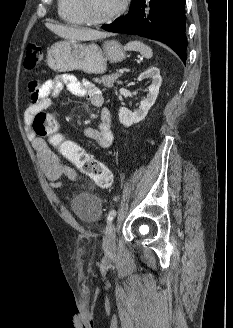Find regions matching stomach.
I'll use <instances>...</instances> for the list:
<instances>
[{"instance_id": "1", "label": "stomach", "mask_w": 233, "mask_h": 328, "mask_svg": "<svg viewBox=\"0 0 233 328\" xmlns=\"http://www.w3.org/2000/svg\"><path fill=\"white\" fill-rule=\"evenodd\" d=\"M125 59L121 44L115 40L104 42L102 49L95 43L79 41L55 43L47 53V64L54 71L81 70L91 74L104 73L107 62L117 63Z\"/></svg>"}]
</instances>
